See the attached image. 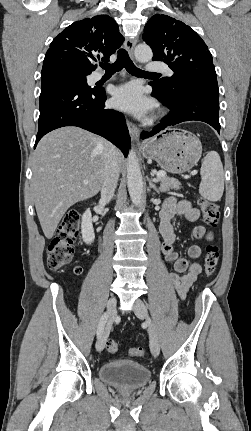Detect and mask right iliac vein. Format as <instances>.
Listing matches in <instances>:
<instances>
[{
    "label": "right iliac vein",
    "mask_w": 251,
    "mask_h": 431,
    "mask_svg": "<svg viewBox=\"0 0 251 431\" xmlns=\"http://www.w3.org/2000/svg\"><path fill=\"white\" fill-rule=\"evenodd\" d=\"M116 304H117V300L115 297H111L108 300V303H107L108 323H107L105 330L99 336L97 343H96V349L99 352H101L105 347V343H106L107 338H108L110 326H111V324L115 318Z\"/></svg>",
    "instance_id": "obj_1"
}]
</instances>
